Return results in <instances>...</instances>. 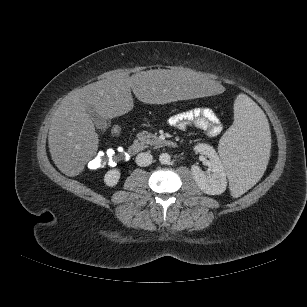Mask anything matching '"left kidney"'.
<instances>
[{"mask_svg": "<svg viewBox=\"0 0 307 307\" xmlns=\"http://www.w3.org/2000/svg\"><path fill=\"white\" fill-rule=\"evenodd\" d=\"M194 150L209 158L211 171V174L206 175L198 165H192L191 173L196 184L206 194H222L226 190L227 178L225 168L215 149L208 144L199 143L195 146Z\"/></svg>", "mask_w": 307, "mask_h": 307, "instance_id": "obj_1", "label": "left kidney"}]
</instances>
